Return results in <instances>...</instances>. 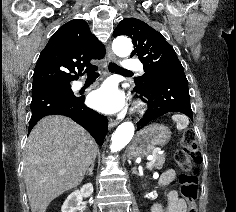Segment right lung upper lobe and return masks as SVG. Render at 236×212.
Returning <instances> with one entry per match:
<instances>
[{"mask_svg":"<svg viewBox=\"0 0 236 212\" xmlns=\"http://www.w3.org/2000/svg\"><path fill=\"white\" fill-rule=\"evenodd\" d=\"M104 55V45L91 33L88 24L81 19L71 20L55 32L40 53L32 87L70 85L84 74V69L96 68L91 60Z\"/></svg>","mask_w":236,"mask_h":212,"instance_id":"obj_1","label":"right lung upper lobe"}]
</instances>
